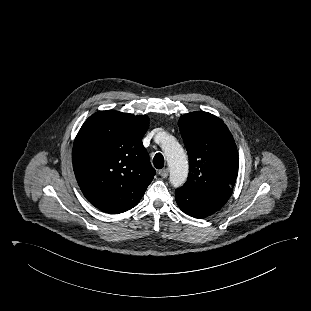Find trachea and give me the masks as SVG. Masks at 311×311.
<instances>
[{
    "mask_svg": "<svg viewBox=\"0 0 311 311\" xmlns=\"http://www.w3.org/2000/svg\"><path fill=\"white\" fill-rule=\"evenodd\" d=\"M153 164H154L156 169H162L163 168V166H164V157H163V155L161 153H157L154 156Z\"/></svg>",
    "mask_w": 311,
    "mask_h": 311,
    "instance_id": "1",
    "label": "trachea"
}]
</instances>
